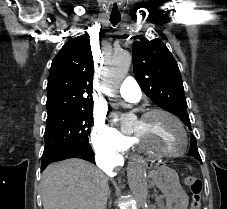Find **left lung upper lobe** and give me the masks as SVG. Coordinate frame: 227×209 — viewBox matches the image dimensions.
<instances>
[{
    "instance_id": "1",
    "label": "left lung upper lobe",
    "mask_w": 227,
    "mask_h": 209,
    "mask_svg": "<svg viewBox=\"0 0 227 209\" xmlns=\"http://www.w3.org/2000/svg\"><path fill=\"white\" fill-rule=\"evenodd\" d=\"M133 69L143 92L160 108L179 117L191 130L182 77L178 65L160 39H141L132 44ZM202 163L196 138L187 154Z\"/></svg>"
}]
</instances>
